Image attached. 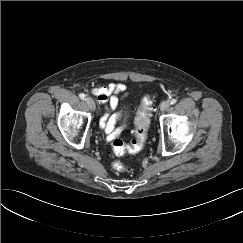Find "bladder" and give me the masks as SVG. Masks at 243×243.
I'll return each instance as SVG.
<instances>
[{
    "label": "bladder",
    "instance_id": "bladder-1",
    "mask_svg": "<svg viewBox=\"0 0 243 243\" xmlns=\"http://www.w3.org/2000/svg\"><path fill=\"white\" fill-rule=\"evenodd\" d=\"M128 110H125V112H124V116H127L128 115Z\"/></svg>",
    "mask_w": 243,
    "mask_h": 243
}]
</instances>
